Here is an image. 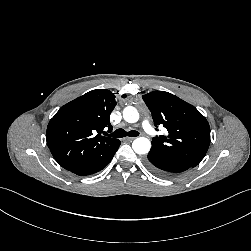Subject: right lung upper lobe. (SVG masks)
I'll return each instance as SVG.
<instances>
[{
  "label": "right lung upper lobe",
  "instance_id": "1",
  "mask_svg": "<svg viewBox=\"0 0 251 251\" xmlns=\"http://www.w3.org/2000/svg\"><path fill=\"white\" fill-rule=\"evenodd\" d=\"M115 106L112 92L96 89L59 109L48 124L46 140L63 168L72 171L93 164L119 143L102 135L112 130L109 118Z\"/></svg>",
  "mask_w": 251,
  "mask_h": 251
}]
</instances>
